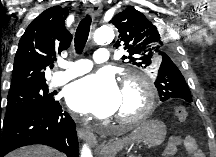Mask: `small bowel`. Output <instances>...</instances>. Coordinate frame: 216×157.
<instances>
[{"label": "small bowel", "mask_w": 216, "mask_h": 157, "mask_svg": "<svg viewBox=\"0 0 216 157\" xmlns=\"http://www.w3.org/2000/svg\"><path fill=\"white\" fill-rule=\"evenodd\" d=\"M183 146L185 150L193 157H203V153L200 150L195 138L193 136H173L163 151L164 157L174 156L177 149Z\"/></svg>", "instance_id": "small-bowel-1"}]
</instances>
